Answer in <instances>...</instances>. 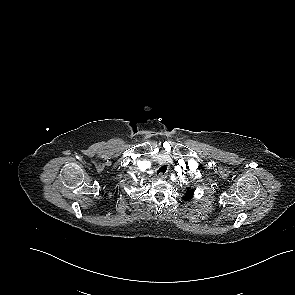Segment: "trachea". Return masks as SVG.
I'll list each match as a JSON object with an SVG mask.
<instances>
[{"label":"trachea","mask_w":295,"mask_h":295,"mask_svg":"<svg viewBox=\"0 0 295 295\" xmlns=\"http://www.w3.org/2000/svg\"><path fill=\"white\" fill-rule=\"evenodd\" d=\"M166 170H167V167H166V166H162V167L159 168V170L157 171V174H160V173L164 174V173L166 172Z\"/></svg>","instance_id":"1"}]
</instances>
